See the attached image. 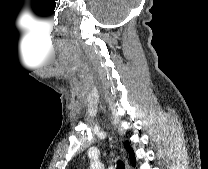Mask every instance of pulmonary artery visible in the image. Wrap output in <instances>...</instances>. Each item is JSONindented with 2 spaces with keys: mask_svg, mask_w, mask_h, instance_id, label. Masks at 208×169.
I'll return each instance as SVG.
<instances>
[{
  "mask_svg": "<svg viewBox=\"0 0 208 169\" xmlns=\"http://www.w3.org/2000/svg\"><path fill=\"white\" fill-rule=\"evenodd\" d=\"M108 169H113V167H109Z\"/></svg>",
  "mask_w": 208,
  "mask_h": 169,
  "instance_id": "1",
  "label": "pulmonary artery"
}]
</instances>
